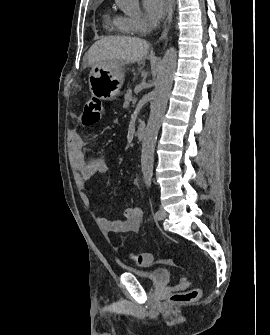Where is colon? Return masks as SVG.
<instances>
[{
    "instance_id": "1",
    "label": "colon",
    "mask_w": 270,
    "mask_h": 335,
    "mask_svg": "<svg viewBox=\"0 0 270 335\" xmlns=\"http://www.w3.org/2000/svg\"><path fill=\"white\" fill-rule=\"evenodd\" d=\"M103 113L104 106L102 105L101 100L96 97H89L82 111L81 118L84 125L89 127L97 124L101 120ZM129 259L135 265L148 266L151 264L152 255L149 252L129 253ZM200 292V288L195 286L185 292L174 294L171 297V300L176 304L187 303L198 298Z\"/></svg>"
}]
</instances>
